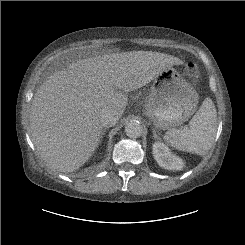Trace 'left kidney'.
I'll list each match as a JSON object with an SVG mask.
<instances>
[{"label": "left kidney", "instance_id": "obj_1", "mask_svg": "<svg viewBox=\"0 0 245 245\" xmlns=\"http://www.w3.org/2000/svg\"><path fill=\"white\" fill-rule=\"evenodd\" d=\"M153 156L159 166L168 170H181L183 168V160L172 154L169 148L162 142L153 144Z\"/></svg>", "mask_w": 245, "mask_h": 245}]
</instances>
